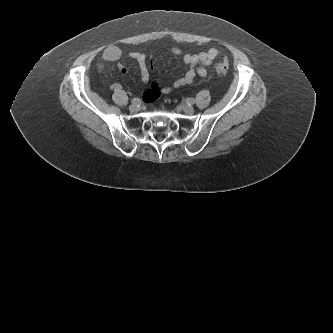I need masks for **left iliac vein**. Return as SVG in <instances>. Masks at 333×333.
<instances>
[{
  "label": "left iliac vein",
  "instance_id": "obj_1",
  "mask_svg": "<svg viewBox=\"0 0 333 333\" xmlns=\"http://www.w3.org/2000/svg\"><path fill=\"white\" fill-rule=\"evenodd\" d=\"M181 108L187 114H192L194 112V107L188 104H182Z\"/></svg>",
  "mask_w": 333,
  "mask_h": 333
}]
</instances>
